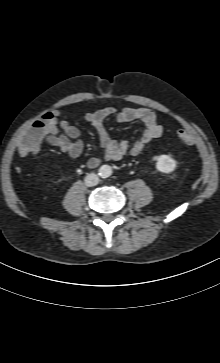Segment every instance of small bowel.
Wrapping results in <instances>:
<instances>
[{
    "label": "small bowel",
    "mask_w": 220,
    "mask_h": 363,
    "mask_svg": "<svg viewBox=\"0 0 220 363\" xmlns=\"http://www.w3.org/2000/svg\"><path fill=\"white\" fill-rule=\"evenodd\" d=\"M52 118L47 126L46 134L42 140L49 145L57 147L60 151L71 158L79 157L83 152V142L80 140V130L65 119H59V113L53 112ZM115 116L119 122L139 121L144 125V131L140 139L133 144L128 141H115L104 127L107 117ZM84 119L96 131L103 154L101 157H93L87 161L90 168L97 167L102 161H117L125 155H139L146 146L163 133V126L158 122L156 114L147 108L126 107L117 109L113 106L101 108L95 112L84 115ZM27 133L21 139L18 153L21 156L28 154L37 155L39 144H31L27 140Z\"/></svg>",
    "instance_id": "1"
}]
</instances>
